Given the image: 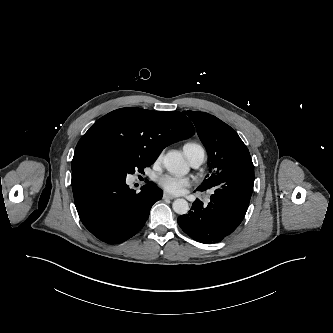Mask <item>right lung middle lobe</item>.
Listing matches in <instances>:
<instances>
[{
    "mask_svg": "<svg viewBox=\"0 0 333 333\" xmlns=\"http://www.w3.org/2000/svg\"><path fill=\"white\" fill-rule=\"evenodd\" d=\"M155 159L128 155L111 150H92L85 154L82 164L95 167L115 178L125 179L135 170L143 172L145 167L153 164Z\"/></svg>",
    "mask_w": 333,
    "mask_h": 333,
    "instance_id": "right-lung-middle-lobe-1",
    "label": "right lung middle lobe"
}]
</instances>
